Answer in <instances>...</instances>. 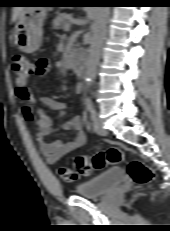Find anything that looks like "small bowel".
<instances>
[{
	"label": "small bowel",
	"instance_id": "obj_1",
	"mask_svg": "<svg viewBox=\"0 0 170 231\" xmlns=\"http://www.w3.org/2000/svg\"><path fill=\"white\" fill-rule=\"evenodd\" d=\"M34 65L36 76L44 75L49 69V61L46 58H39ZM82 89V83L78 82L76 84V92L80 93ZM16 95L24 102L22 108L23 116L34 125L39 150L48 164H54L63 156L75 151L86 143V134L80 116L67 119V106L65 103L47 96L36 97L27 85L17 87ZM46 108L55 111L57 113L56 117L50 116L46 112ZM57 120L62 121L60 128H54ZM69 130L75 132V137L70 142L62 143L59 140H46V137L53 133Z\"/></svg>",
	"mask_w": 170,
	"mask_h": 231
}]
</instances>
